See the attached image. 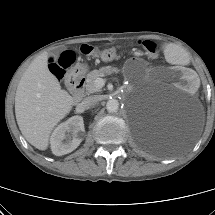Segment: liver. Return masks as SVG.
<instances>
[{
	"mask_svg": "<svg viewBox=\"0 0 215 215\" xmlns=\"http://www.w3.org/2000/svg\"><path fill=\"white\" fill-rule=\"evenodd\" d=\"M73 104V97L49 71L47 52L37 56L23 73L15 96L16 120L24 138L46 150L52 130Z\"/></svg>",
	"mask_w": 215,
	"mask_h": 215,
	"instance_id": "6515ba94",
	"label": "liver"
}]
</instances>
